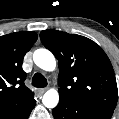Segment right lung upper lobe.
<instances>
[{"label":"right lung upper lobe","mask_w":119,"mask_h":119,"mask_svg":"<svg viewBox=\"0 0 119 119\" xmlns=\"http://www.w3.org/2000/svg\"><path fill=\"white\" fill-rule=\"evenodd\" d=\"M36 40L37 34L33 31L0 36V107L34 95L24 84L26 73L22 61Z\"/></svg>","instance_id":"right-lung-upper-lobe-1"}]
</instances>
